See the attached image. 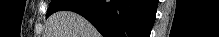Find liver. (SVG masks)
Instances as JSON below:
<instances>
[{
  "instance_id": "1",
  "label": "liver",
  "mask_w": 219,
  "mask_h": 37,
  "mask_svg": "<svg viewBox=\"0 0 219 37\" xmlns=\"http://www.w3.org/2000/svg\"><path fill=\"white\" fill-rule=\"evenodd\" d=\"M47 37H98L94 27L72 11H59L47 22Z\"/></svg>"
}]
</instances>
